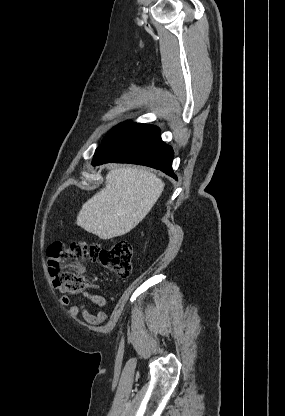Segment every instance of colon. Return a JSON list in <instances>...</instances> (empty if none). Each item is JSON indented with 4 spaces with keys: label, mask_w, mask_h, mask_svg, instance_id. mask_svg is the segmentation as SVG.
I'll return each mask as SVG.
<instances>
[{
    "label": "colon",
    "mask_w": 285,
    "mask_h": 416,
    "mask_svg": "<svg viewBox=\"0 0 285 416\" xmlns=\"http://www.w3.org/2000/svg\"><path fill=\"white\" fill-rule=\"evenodd\" d=\"M48 257V271L54 287L68 294L79 293L87 285L84 259L98 263L121 278L129 277L132 271V246L123 240L108 248L84 242H54L48 248Z\"/></svg>",
    "instance_id": "1"
}]
</instances>
